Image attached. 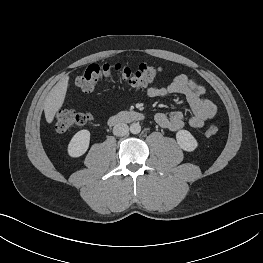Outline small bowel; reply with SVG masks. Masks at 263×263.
Segmentation results:
<instances>
[{"mask_svg": "<svg viewBox=\"0 0 263 263\" xmlns=\"http://www.w3.org/2000/svg\"><path fill=\"white\" fill-rule=\"evenodd\" d=\"M147 94L151 98L173 94L185 97L192 111V116L189 119H186L184 113L180 110H174L169 114L158 112L155 115L156 123L160 127L171 131L182 129L186 123L193 128H202L207 121L213 119L216 115V106L211 99L205 96V88L184 74L174 77L165 87L150 86Z\"/></svg>", "mask_w": 263, "mask_h": 263, "instance_id": "obj_1", "label": "small bowel"}]
</instances>
